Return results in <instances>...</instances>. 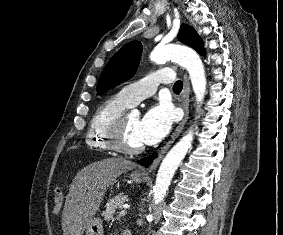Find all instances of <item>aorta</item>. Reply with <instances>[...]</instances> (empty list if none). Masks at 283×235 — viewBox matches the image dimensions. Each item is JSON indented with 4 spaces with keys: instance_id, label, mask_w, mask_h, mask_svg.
Masks as SVG:
<instances>
[{
    "instance_id": "762f6f07",
    "label": "aorta",
    "mask_w": 283,
    "mask_h": 235,
    "mask_svg": "<svg viewBox=\"0 0 283 235\" xmlns=\"http://www.w3.org/2000/svg\"><path fill=\"white\" fill-rule=\"evenodd\" d=\"M150 60L156 63L175 60L184 67L189 73L196 102L197 104L202 103L206 92L205 70L199 55L193 49L176 44L157 46L151 52ZM192 141L193 130L190 129L163 159L153 187L155 204L160 203L165 198L171 180L191 147Z\"/></svg>"
}]
</instances>
